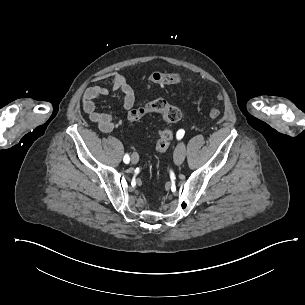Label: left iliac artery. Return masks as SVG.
Masks as SVG:
<instances>
[{
  "label": "left iliac artery",
  "mask_w": 305,
  "mask_h": 305,
  "mask_svg": "<svg viewBox=\"0 0 305 305\" xmlns=\"http://www.w3.org/2000/svg\"><path fill=\"white\" fill-rule=\"evenodd\" d=\"M184 130H179L178 132H177V138L178 139H181L183 136H184Z\"/></svg>",
  "instance_id": "obj_1"
}]
</instances>
